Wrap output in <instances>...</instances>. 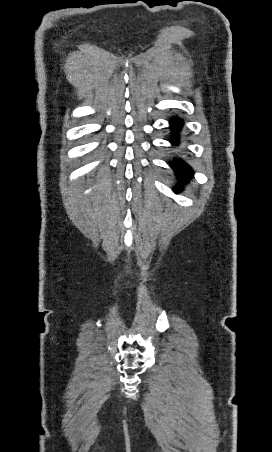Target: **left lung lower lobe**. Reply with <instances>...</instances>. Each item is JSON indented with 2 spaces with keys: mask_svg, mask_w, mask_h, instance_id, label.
I'll use <instances>...</instances> for the list:
<instances>
[{
  "mask_svg": "<svg viewBox=\"0 0 272 452\" xmlns=\"http://www.w3.org/2000/svg\"><path fill=\"white\" fill-rule=\"evenodd\" d=\"M182 125L183 122L178 118H174L170 121V128L173 134V137L170 140L172 144H177L179 142V132L182 129ZM171 166L176 171V174L181 182H186L192 175L191 168L179 159H176ZM179 190L180 186L176 187L175 191L178 192Z\"/></svg>",
  "mask_w": 272,
  "mask_h": 452,
  "instance_id": "left-lung-lower-lobe-1",
  "label": "left lung lower lobe"
}]
</instances>
